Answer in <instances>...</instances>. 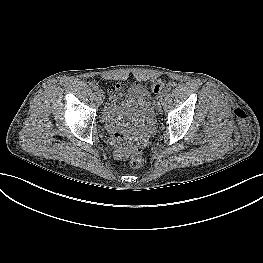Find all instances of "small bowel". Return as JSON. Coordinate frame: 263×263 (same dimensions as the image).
I'll list each match as a JSON object with an SVG mask.
<instances>
[{
  "instance_id": "obj_1",
  "label": "small bowel",
  "mask_w": 263,
  "mask_h": 263,
  "mask_svg": "<svg viewBox=\"0 0 263 263\" xmlns=\"http://www.w3.org/2000/svg\"><path fill=\"white\" fill-rule=\"evenodd\" d=\"M127 77V75L126 74H122L121 76H120V79H125ZM134 90L137 92V93H140V94H143V93H145V89L142 87V86H135L134 87ZM144 119H147V113L145 112L144 113ZM127 137H128V135H124V138L127 140Z\"/></svg>"
}]
</instances>
